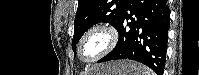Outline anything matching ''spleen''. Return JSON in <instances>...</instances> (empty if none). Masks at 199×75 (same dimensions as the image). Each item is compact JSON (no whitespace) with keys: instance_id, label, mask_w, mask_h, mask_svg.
Listing matches in <instances>:
<instances>
[{"instance_id":"spleen-1","label":"spleen","mask_w":199,"mask_h":75,"mask_svg":"<svg viewBox=\"0 0 199 75\" xmlns=\"http://www.w3.org/2000/svg\"><path fill=\"white\" fill-rule=\"evenodd\" d=\"M141 75H154V73L147 67H143Z\"/></svg>"}]
</instances>
